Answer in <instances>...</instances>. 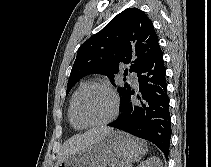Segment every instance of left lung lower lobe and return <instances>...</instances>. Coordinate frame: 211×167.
Returning a JSON list of instances; mask_svg holds the SVG:
<instances>
[{
  "instance_id": "left-lung-lower-lobe-1",
  "label": "left lung lower lobe",
  "mask_w": 211,
  "mask_h": 167,
  "mask_svg": "<svg viewBox=\"0 0 211 167\" xmlns=\"http://www.w3.org/2000/svg\"><path fill=\"white\" fill-rule=\"evenodd\" d=\"M138 92L127 90L121 98V115L108 126L154 143L169 155L171 121L167 95L166 69L158 47L148 62L137 72Z\"/></svg>"
}]
</instances>
